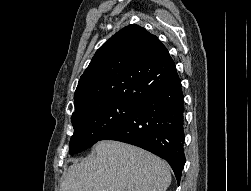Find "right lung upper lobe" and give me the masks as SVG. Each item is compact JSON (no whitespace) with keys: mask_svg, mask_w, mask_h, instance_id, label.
<instances>
[{"mask_svg":"<svg viewBox=\"0 0 251 191\" xmlns=\"http://www.w3.org/2000/svg\"><path fill=\"white\" fill-rule=\"evenodd\" d=\"M178 78L160 40L129 25L96 51L74 93L75 110L111 101L141 103Z\"/></svg>","mask_w":251,"mask_h":191,"instance_id":"cb5924a9","label":"right lung upper lobe"}]
</instances>
